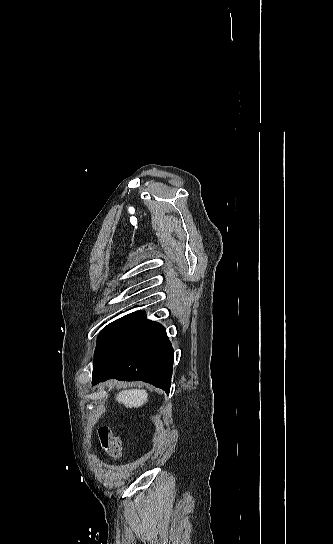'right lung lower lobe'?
Segmentation results:
<instances>
[{
  "instance_id": "obj_1",
  "label": "right lung lower lobe",
  "mask_w": 333,
  "mask_h": 544,
  "mask_svg": "<svg viewBox=\"0 0 333 544\" xmlns=\"http://www.w3.org/2000/svg\"><path fill=\"white\" fill-rule=\"evenodd\" d=\"M174 350L165 328L155 322L144 334L101 365L94 366L92 384L108 379L143 381L169 393Z\"/></svg>"
}]
</instances>
